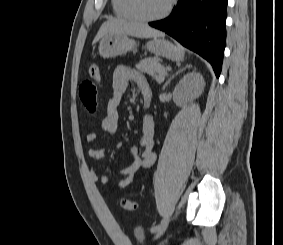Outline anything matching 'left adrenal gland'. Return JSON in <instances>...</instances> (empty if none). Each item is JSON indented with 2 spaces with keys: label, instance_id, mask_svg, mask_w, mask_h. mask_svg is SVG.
I'll list each match as a JSON object with an SVG mask.
<instances>
[{
  "label": "left adrenal gland",
  "instance_id": "obj_1",
  "mask_svg": "<svg viewBox=\"0 0 283 245\" xmlns=\"http://www.w3.org/2000/svg\"><path fill=\"white\" fill-rule=\"evenodd\" d=\"M191 66L190 65H187L186 67H183L182 69H180L179 71H177L174 75L170 76L169 79L166 81V83L164 84L163 86V90H165V88L168 86V84L171 82V80L177 76L179 73H181L182 71H184L185 69L187 68H190Z\"/></svg>",
  "mask_w": 283,
  "mask_h": 245
}]
</instances>
